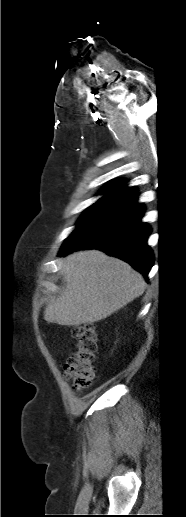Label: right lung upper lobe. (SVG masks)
Here are the masks:
<instances>
[{
  "instance_id": "right-lung-upper-lobe-1",
  "label": "right lung upper lobe",
  "mask_w": 186,
  "mask_h": 517,
  "mask_svg": "<svg viewBox=\"0 0 186 517\" xmlns=\"http://www.w3.org/2000/svg\"><path fill=\"white\" fill-rule=\"evenodd\" d=\"M126 181H116L107 184L100 194H105L99 201H109L114 204L127 199L137 193L134 187H126Z\"/></svg>"
}]
</instances>
